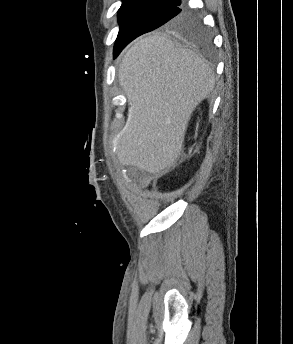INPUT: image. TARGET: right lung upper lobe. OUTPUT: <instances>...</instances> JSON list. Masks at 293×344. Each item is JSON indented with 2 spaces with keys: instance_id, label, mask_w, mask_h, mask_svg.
<instances>
[{
  "instance_id": "cb5924a9",
  "label": "right lung upper lobe",
  "mask_w": 293,
  "mask_h": 344,
  "mask_svg": "<svg viewBox=\"0 0 293 344\" xmlns=\"http://www.w3.org/2000/svg\"><path fill=\"white\" fill-rule=\"evenodd\" d=\"M123 3H163V4H170V5H180V0H122ZM165 28L168 27L165 25Z\"/></svg>"
}]
</instances>
